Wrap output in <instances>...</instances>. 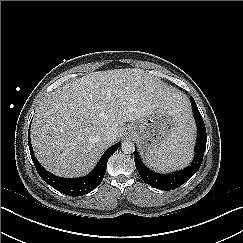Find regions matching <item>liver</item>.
I'll return each instance as SVG.
<instances>
[{
    "instance_id": "1",
    "label": "liver",
    "mask_w": 243,
    "mask_h": 243,
    "mask_svg": "<svg viewBox=\"0 0 243 243\" xmlns=\"http://www.w3.org/2000/svg\"><path fill=\"white\" fill-rule=\"evenodd\" d=\"M168 107L178 127L190 128L187 97L141 69L97 71L51 92L36 110L31 142L51 173L80 177L125 134L127 122L143 121L155 108ZM114 131V138L103 135Z\"/></svg>"
}]
</instances>
